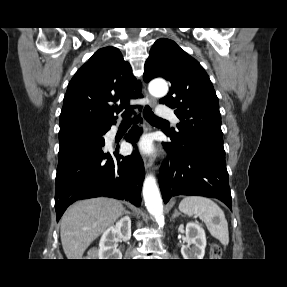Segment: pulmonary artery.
<instances>
[{"mask_svg": "<svg viewBox=\"0 0 287 287\" xmlns=\"http://www.w3.org/2000/svg\"><path fill=\"white\" fill-rule=\"evenodd\" d=\"M157 115L161 117H169L172 118L175 123L178 122V119L173 115V111L165 105H160L157 108Z\"/></svg>", "mask_w": 287, "mask_h": 287, "instance_id": "pulmonary-artery-1", "label": "pulmonary artery"}]
</instances>
